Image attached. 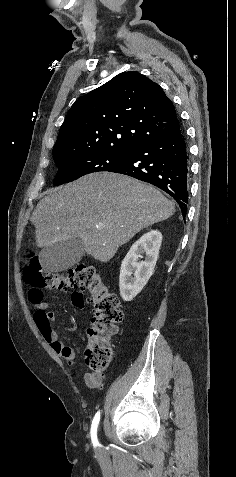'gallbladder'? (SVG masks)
<instances>
[{"label":"gallbladder","mask_w":236,"mask_h":477,"mask_svg":"<svg viewBox=\"0 0 236 477\" xmlns=\"http://www.w3.org/2000/svg\"><path fill=\"white\" fill-rule=\"evenodd\" d=\"M83 255V243L73 238L45 247L40 253V262L51 272H61L78 263Z\"/></svg>","instance_id":"obj_1"}]
</instances>
